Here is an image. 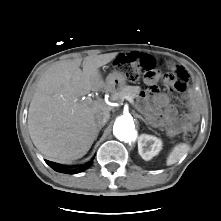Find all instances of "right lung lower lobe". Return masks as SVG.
I'll return each instance as SVG.
<instances>
[{"label":"right lung lower lobe","mask_w":221,"mask_h":221,"mask_svg":"<svg viewBox=\"0 0 221 221\" xmlns=\"http://www.w3.org/2000/svg\"><path fill=\"white\" fill-rule=\"evenodd\" d=\"M46 163L52 168L54 169L55 171L57 172H61V173H66V174H74V173H77V172H72V171H69L67 169V167L63 166V165H60V164H57V163H54V162H51V161H48V160H45ZM91 163V162H90ZM90 164H87V167L89 166Z\"/></svg>","instance_id":"obj_1"}]
</instances>
